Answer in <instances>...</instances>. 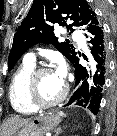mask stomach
<instances>
[{"label":"stomach","mask_w":117,"mask_h":136,"mask_svg":"<svg viewBox=\"0 0 117 136\" xmlns=\"http://www.w3.org/2000/svg\"><path fill=\"white\" fill-rule=\"evenodd\" d=\"M61 119L59 115L41 114L17 131L14 136H44L52 131Z\"/></svg>","instance_id":"obj_1"}]
</instances>
